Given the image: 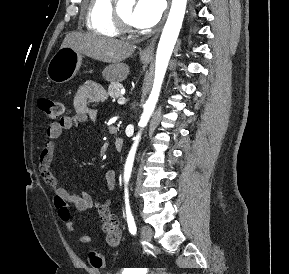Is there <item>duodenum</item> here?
Returning <instances> with one entry per match:
<instances>
[{
    "mask_svg": "<svg viewBox=\"0 0 289 274\" xmlns=\"http://www.w3.org/2000/svg\"><path fill=\"white\" fill-rule=\"evenodd\" d=\"M124 140L121 137H117L114 141V148L116 151H121L123 149Z\"/></svg>",
    "mask_w": 289,
    "mask_h": 274,
    "instance_id": "obj_1",
    "label": "duodenum"
}]
</instances>
